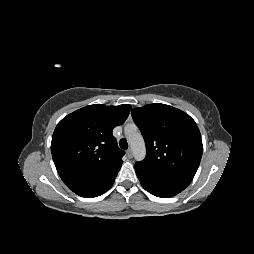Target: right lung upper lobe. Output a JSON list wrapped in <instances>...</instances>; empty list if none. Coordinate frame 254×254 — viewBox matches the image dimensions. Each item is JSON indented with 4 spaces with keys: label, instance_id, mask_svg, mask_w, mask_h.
<instances>
[{
    "label": "right lung upper lobe",
    "instance_id": "1",
    "mask_svg": "<svg viewBox=\"0 0 254 254\" xmlns=\"http://www.w3.org/2000/svg\"><path fill=\"white\" fill-rule=\"evenodd\" d=\"M131 106L89 105L64 117L56 126L51 152L64 181L97 176L122 165L113 129L128 117Z\"/></svg>",
    "mask_w": 254,
    "mask_h": 254
}]
</instances>
